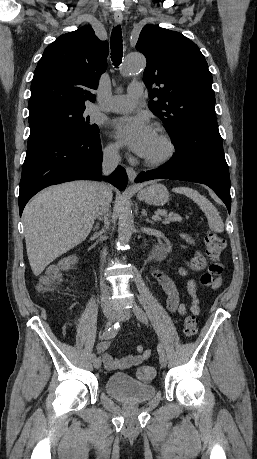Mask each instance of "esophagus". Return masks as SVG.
Segmentation results:
<instances>
[{"instance_id": "obj_1", "label": "esophagus", "mask_w": 257, "mask_h": 459, "mask_svg": "<svg viewBox=\"0 0 257 459\" xmlns=\"http://www.w3.org/2000/svg\"><path fill=\"white\" fill-rule=\"evenodd\" d=\"M114 20H115V22L117 24H121L122 23L123 15H122L121 11H115L114 12ZM126 171H127V175H128L129 181L133 184L135 179H136V176H137L136 171L132 167H127Z\"/></svg>"}]
</instances>
